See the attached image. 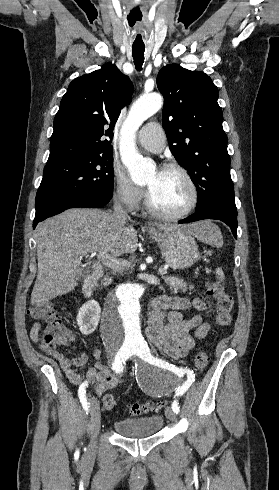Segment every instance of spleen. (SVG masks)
Instances as JSON below:
<instances>
[{"label": "spleen", "mask_w": 279, "mask_h": 490, "mask_svg": "<svg viewBox=\"0 0 279 490\" xmlns=\"http://www.w3.org/2000/svg\"><path fill=\"white\" fill-rule=\"evenodd\" d=\"M204 224V232L199 236V240L206 242V244H210L213 248H221L223 244L221 230H219L218 226L212 224V222H204ZM216 274L219 280H224V272L221 268H217Z\"/></svg>", "instance_id": "spleen-1"}]
</instances>
